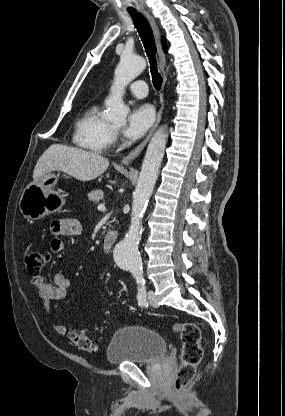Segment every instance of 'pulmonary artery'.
Instances as JSON below:
<instances>
[{"instance_id":"obj_1","label":"pulmonary artery","mask_w":285,"mask_h":416,"mask_svg":"<svg viewBox=\"0 0 285 416\" xmlns=\"http://www.w3.org/2000/svg\"><path fill=\"white\" fill-rule=\"evenodd\" d=\"M146 85V83L138 79L131 83L128 87L129 91L136 97L143 98L148 94V89L146 87H141Z\"/></svg>"}]
</instances>
